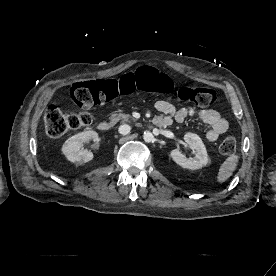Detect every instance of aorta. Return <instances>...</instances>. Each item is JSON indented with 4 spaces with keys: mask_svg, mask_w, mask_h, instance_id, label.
I'll return each instance as SVG.
<instances>
[{
    "mask_svg": "<svg viewBox=\"0 0 276 276\" xmlns=\"http://www.w3.org/2000/svg\"><path fill=\"white\" fill-rule=\"evenodd\" d=\"M143 139L145 140V142H153L154 141V135L151 132L147 131V132L144 133Z\"/></svg>",
    "mask_w": 276,
    "mask_h": 276,
    "instance_id": "1",
    "label": "aorta"
}]
</instances>
